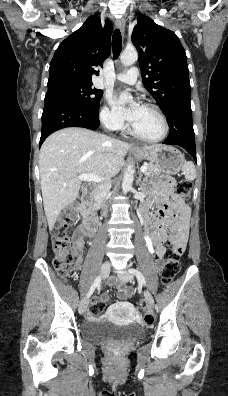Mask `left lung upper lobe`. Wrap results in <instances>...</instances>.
Listing matches in <instances>:
<instances>
[{
	"label": "left lung upper lobe",
	"mask_w": 228,
	"mask_h": 396,
	"mask_svg": "<svg viewBox=\"0 0 228 396\" xmlns=\"http://www.w3.org/2000/svg\"><path fill=\"white\" fill-rule=\"evenodd\" d=\"M132 42L139 52L145 88L163 113L174 107V116L178 117L182 111L174 104L191 97L186 53L180 40L172 31L140 14L132 32Z\"/></svg>",
	"instance_id": "obj_1"
}]
</instances>
